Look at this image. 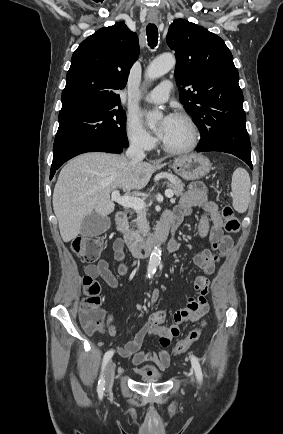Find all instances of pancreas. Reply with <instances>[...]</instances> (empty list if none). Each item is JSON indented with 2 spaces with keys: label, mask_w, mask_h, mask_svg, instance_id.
Masks as SVG:
<instances>
[{
  "label": "pancreas",
  "mask_w": 283,
  "mask_h": 434,
  "mask_svg": "<svg viewBox=\"0 0 283 434\" xmlns=\"http://www.w3.org/2000/svg\"><path fill=\"white\" fill-rule=\"evenodd\" d=\"M170 189L173 190L176 196L183 195L185 184L177 177H172L170 182L167 184ZM137 230L130 229L128 222H123L121 224L122 229L128 233L130 236L137 240H141L142 236H146L149 231V224L146 219V213L142 211L137 212V218L135 220Z\"/></svg>",
  "instance_id": "obj_1"
}]
</instances>
